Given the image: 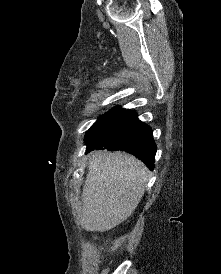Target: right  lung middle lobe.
<instances>
[{"instance_id":"obj_1","label":"right lung middle lobe","mask_w":221,"mask_h":274,"mask_svg":"<svg viewBox=\"0 0 221 274\" xmlns=\"http://www.w3.org/2000/svg\"><path fill=\"white\" fill-rule=\"evenodd\" d=\"M125 111L122 108H115L98 118V120L91 126L85 135V143L90 142L93 138L104 131L109 125L117 120Z\"/></svg>"}]
</instances>
